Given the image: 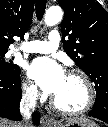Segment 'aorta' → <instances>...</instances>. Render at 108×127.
I'll return each mask as SVG.
<instances>
[{
	"label": "aorta",
	"instance_id": "762f6f07",
	"mask_svg": "<svg viewBox=\"0 0 108 127\" xmlns=\"http://www.w3.org/2000/svg\"><path fill=\"white\" fill-rule=\"evenodd\" d=\"M63 18L62 9L58 6L48 8L45 14V24L47 26H54L58 24Z\"/></svg>",
	"mask_w": 108,
	"mask_h": 127
}]
</instances>
